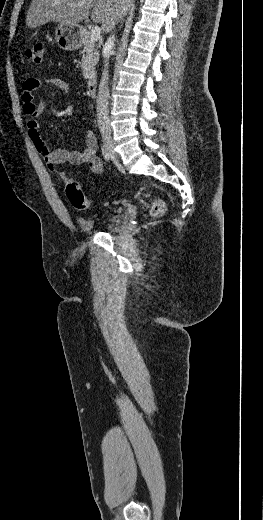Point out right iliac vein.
I'll return each mask as SVG.
<instances>
[{
  "label": "right iliac vein",
  "instance_id": "63e3f726",
  "mask_svg": "<svg viewBox=\"0 0 263 520\" xmlns=\"http://www.w3.org/2000/svg\"><path fill=\"white\" fill-rule=\"evenodd\" d=\"M102 139H103L104 145H105L106 149L108 150V152L110 153V155L113 158L117 159V155H116V153L114 151V147H113V143H112L110 132L106 131V130H103L102 131Z\"/></svg>",
  "mask_w": 263,
  "mask_h": 520
}]
</instances>
